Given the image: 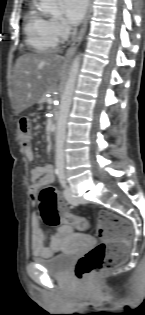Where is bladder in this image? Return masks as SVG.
Segmentation results:
<instances>
[{
	"label": "bladder",
	"instance_id": "1",
	"mask_svg": "<svg viewBox=\"0 0 145 315\" xmlns=\"http://www.w3.org/2000/svg\"><path fill=\"white\" fill-rule=\"evenodd\" d=\"M74 249H89V248H74ZM75 256H65V252L52 256L47 260H37V262L51 276L63 277L73 266Z\"/></svg>",
	"mask_w": 145,
	"mask_h": 315
}]
</instances>
